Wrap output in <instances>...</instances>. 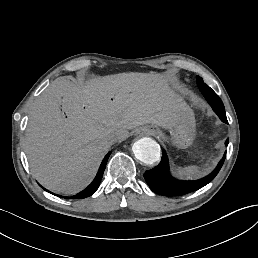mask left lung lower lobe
Here are the masks:
<instances>
[{
  "label": "left lung lower lobe",
  "instance_id": "obj_1",
  "mask_svg": "<svg viewBox=\"0 0 258 258\" xmlns=\"http://www.w3.org/2000/svg\"><path fill=\"white\" fill-rule=\"evenodd\" d=\"M197 84L203 96L208 101L214 112L224 123H228L225 108L219 96L209 86H207L202 79H197ZM225 144L228 145V139L226 140ZM163 154L164 155L158 166L154 167L151 170H147L144 173V178L153 192L164 196L184 195L194 192L207 185L218 174L226 157L225 152L217 167L206 177L196 181H181L173 178L170 175L168 158L165 154V151H163Z\"/></svg>",
  "mask_w": 258,
  "mask_h": 258
}]
</instances>
